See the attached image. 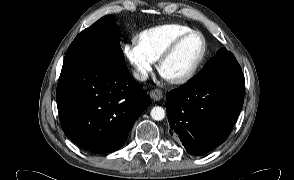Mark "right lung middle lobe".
Instances as JSON below:
<instances>
[{
  "label": "right lung middle lobe",
  "instance_id": "right-lung-middle-lobe-1",
  "mask_svg": "<svg viewBox=\"0 0 294 180\" xmlns=\"http://www.w3.org/2000/svg\"><path fill=\"white\" fill-rule=\"evenodd\" d=\"M119 38L120 28L115 17H102L73 40L66 52L62 69L85 60L110 59L124 62Z\"/></svg>",
  "mask_w": 294,
  "mask_h": 180
}]
</instances>
